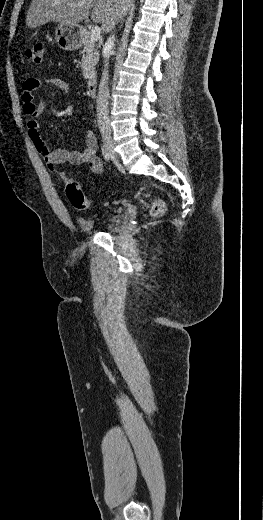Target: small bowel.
I'll use <instances>...</instances> for the list:
<instances>
[{
  "label": "small bowel",
  "mask_w": 263,
  "mask_h": 520,
  "mask_svg": "<svg viewBox=\"0 0 263 520\" xmlns=\"http://www.w3.org/2000/svg\"><path fill=\"white\" fill-rule=\"evenodd\" d=\"M43 85L55 87L62 94H67L70 88L67 82L59 78H28L23 82L21 99L23 110L28 118L27 131L36 150L41 155L47 166L53 171H55L56 166L67 163L71 165L87 164L93 174L101 173L102 163L96 154L98 142L93 131L85 130L82 133V147L76 150H51L42 138L40 125L36 118L43 113L44 105L42 103L34 102V93ZM59 176L64 180L66 175L63 172H60Z\"/></svg>",
  "instance_id": "c3829d8e"
}]
</instances>
